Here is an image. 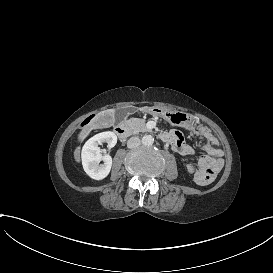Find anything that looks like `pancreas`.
<instances>
[{"label": "pancreas", "instance_id": "obj_1", "mask_svg": "<svg viewBox=\"0 0 273 273\" xmlns=\"http://www.w3.org/2000/svg\"><path fill=\"white\" fill-rule=\"evenodd\" d=\"M126 125L132 129L133 134H138L139 132H146L148 131L145 122L143 119L140 118H131L126 121Z\"/></svg>", "mask_w": 273, "mask_h": 273}]
</instances>
